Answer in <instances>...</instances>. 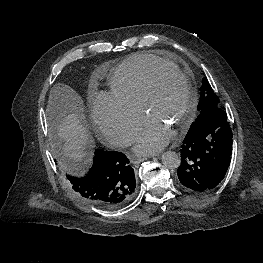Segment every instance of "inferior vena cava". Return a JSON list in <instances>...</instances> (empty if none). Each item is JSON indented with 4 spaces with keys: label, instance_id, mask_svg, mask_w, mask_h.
<instances>
[{
    "label": "inferior vena cava",
    "instance_id": "obj_1",
    "mask_svg": "<svg viewBox=\"0 0 263 263\" xmlns=\"http://www.w3.org/2000/svg\"><path fill=\"white\" fill-rule=\"evenodd\" d=\"M134 139L128 135H121L117 138L116 146L124 148L132 145Z\"/></svg>",
    "mask_w": 263,
    "mask_h": 263
}]
</instances>
